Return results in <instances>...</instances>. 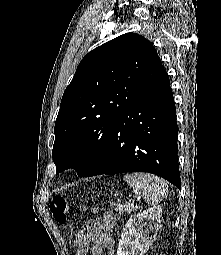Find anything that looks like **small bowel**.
Returning a JSON list of instances; mask_svg holds the SVG:
<instances>
[{
	"instance_id": "c3829d8e",
	"label": "small bowel",
	"mask_w": 221,
	"mask_h": 255,
	"mask_svg": "<svg viewBox=\"0 0 221 255\" xmlns=\"http://www.w3.org/2000/svg\"><path fill=\"white\" fill-rule=\"evenodd\" d=\"M116 223L112 213L86 222L79 230L75 239L76 255H103L106 250L108 255L115 254V243L112 237L113 227Z\"/></svg>"
}]
</instances>
